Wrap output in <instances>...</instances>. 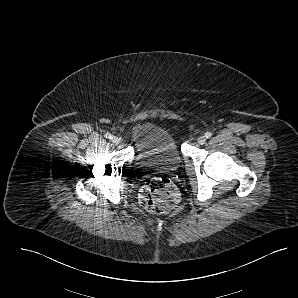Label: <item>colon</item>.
<instances>
[{"mask_svg": "<svg viewBox=\"0 0 298 298\" xmlns=\"http://www.w3.org/2000/svg\"><path fill=\"white\" fill-rule=\"evenodd\" d=\"M178 200L174 184L166 177L150 179L139 193L141 206L151 213H167L176 206Z\"/></svg>", "mask_w": 298, "mask_h": 298, "instance_id": "obj_1", "label": "colon"}]
</instances>
